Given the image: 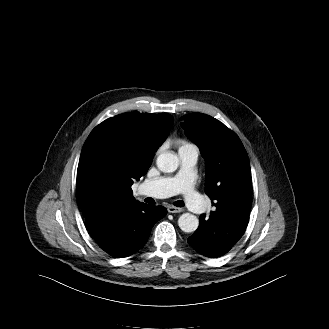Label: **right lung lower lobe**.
I'll use <instances>...</instances> for the list:
<instances>
[{"mask_svg":"<svg viewBox=\"0 0 329 329\" xmlns=\"http://www.w3.org/2000/svg\"><path fill=\"white\" fill-rule=\"evenodd\" d=\"M167 214L163 206L138 201L104 206L85 216L97 244L113 257L132 255L147 242L153 225Z\"/></svg>","mask_w":329,"mask_h":329,"instance_id":"98d812e1","label":"right lung lower lobe"}]
</instances>
